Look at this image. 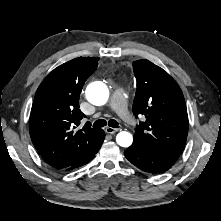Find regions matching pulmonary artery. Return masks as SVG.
I'll use <instances>...</instances> for the list:
<instances>
[{
	"mask_svg": "<svg viewBox=\"0 0 221 221\" xmlns=\"http://www.w3.org/2000/svg\"><path fill=\"white\" fill-rule=\"evenodd\" d=\"M110 107L119 115V117L125 123L129 125L136 124L135 120L127 109L126 95L125 91L122 88H117L113 91L110 100Z\"/></svg>",
	"mask_w": 221,
	"mask_h": 221,
	"instance_id": "e3ab8cb5",
	"label": "pulmonary artery"
}]
</instances>
